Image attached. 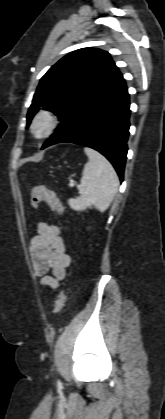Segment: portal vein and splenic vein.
<instances>
[{"label": "portal vein and splenic vein", "mask_w": 165, "mask_h": 419, "mask_svg": "<svg viewBox=\"0 0 165 419\" xmlns=\"http://www.w3.org/2000/svg\"><path fill=\"white\" fill-rule=\"evenodd\" d=\"M70 185L73 186V182L72 181L70 182Z\"/></svg>", "instance_id": "obj_1"}]
</instances>
